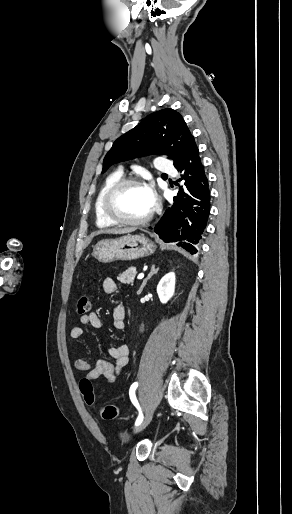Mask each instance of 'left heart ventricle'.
<instances>
[{"instance_id": "1", "label": "left heart ventricle", "mask_w": 292, "mask_h": 514, "mask_svg": "<svg viewBox=\"0 0 292 514\" xmlns=\"http://www.w3.org/2000/svg\"><path fill=\"white\" fill-rule=\"evenodd\" d=\"M112 210L122 218L138 219L151 209L142 187H125L116 192L111 199Z\"/></svg>"}]
</instances>
